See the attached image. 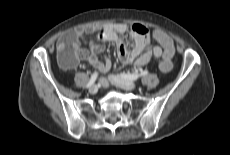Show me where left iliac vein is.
<instances>
[{"instance_id": "left-iliac-vein-1", "label": "left iliac vein", "mask_w": 230, "mask_h": 155, "mask_svg": "<svg viewBox=\"0 0 230 155\" xmlns=\"http://www.w3.org/2000/svg\"><path fill=\"white\" fill-rule=\"evenodd\" d=\"M108 79L113 85H116L126 90H134L137 87L135 82L125 80L124 78L117 75H109Z\"/></svg>"}]
</instances>
